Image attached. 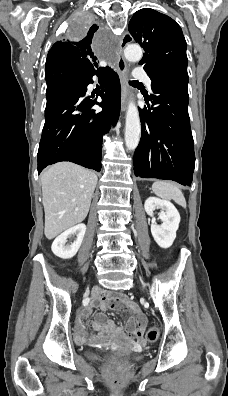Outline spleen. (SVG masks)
I'll list each match as a JSON object with an SVG mask.
<instances>
[{
	"label": "spleen",
	"instance_id": "1",
	"mask_svg": "<svg viewBox=\"0 0 228 396\" xmlns=\"http://www.w3.org/2000/svg\"><path fill=\"white\" fill-rule=\"evenodd\" d=\"M152 190L158 197L165 200H173L178 205L186 208V200L176 185L166 181H156L152 185Z\"/></svg>",
	"mask_w": 228,
	"mask_h": 396
}]
</instances>
